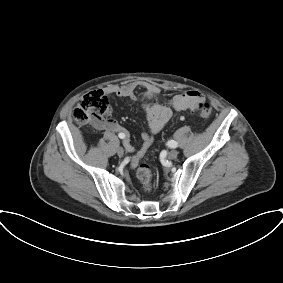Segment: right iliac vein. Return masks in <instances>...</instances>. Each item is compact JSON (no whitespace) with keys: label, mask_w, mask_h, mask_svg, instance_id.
Instances as JSON below:
<instances>
[{"label":"right iliac vein","mask_w":283,"mask_h":283,"mask_svg":"<svg viewBox=\"0 0 283 283\" xmlns=\"http://www.w3.org/2000/svg\"><path fill=\"white\" fill-rule=\"evenodd\" d=\"M117 154H118L119 157H123V155H124V149H123L122 147H119V148L117 149Z\"/></svg>","instance_id":"obj_1"}]
</instances>
